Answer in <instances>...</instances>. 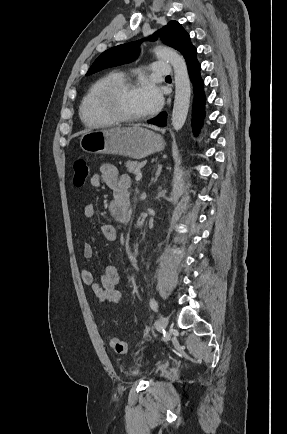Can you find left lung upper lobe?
<instances>
[{
  "instance_id": "obj_1",
  "label": "left lung upper lobe",
  "mask_w": 287,
  "mask_h": 434,
  "mask_svg": "<svg viewBox=\"0 0 287 434\" xmlns=\"http://www.w3.org/2000/svg\"><path fill=\"white\" fill-rule=\"evenodd\" d=\"M158 36L165 44L181 52L185 60L196 54V48L191 44L189 34L177 21H170L163 27L162 33L156 32L150 37V40L155 41ZM140 42H130L106 50L94 61L86 75L134 61L139 55Z\"/></svg>"
}]
</instances>
